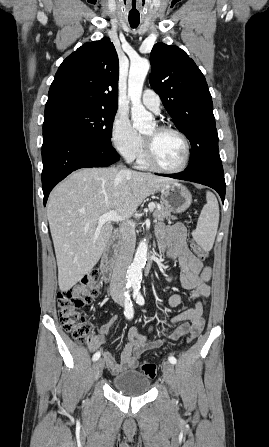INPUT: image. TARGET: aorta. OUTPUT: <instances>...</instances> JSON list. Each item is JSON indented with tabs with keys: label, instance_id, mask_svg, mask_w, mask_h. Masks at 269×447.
I'll return each instance as SVG.
<instances>
[{
	"label": "aorta",
	"instance_id": "obj_1",
	"mask_svg": "<svg viewBox=\"0 0 269 447\" xmlns=\"http://www.w3.org/2000/svg\"><path fill=\"white\" fill-rule=\"evenodd\" d=\"M150 70V62L146 58L133 60L131 62L128 78V96L131 100V118L133 128L141 130H153V116L142 106L141 96L145 78ZM148 243L146 239L140 241L133 263L129 265L127 271V281L131 285H139L142 279V267L146 263Z\"/></svg>",
	"mask_w": 269,
	"mask_h": 447
}]
</instances>
